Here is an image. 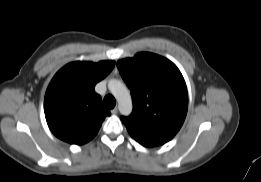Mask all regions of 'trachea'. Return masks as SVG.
I'll list each match as a JSON object with an SVG mask.
<instances>
[{
    "instance_id": "1",
    "label": "trachea",
    "mask_w": 261,
    "mask_h": 182,
    "mask_svg": "<svg viewBox=\"0 0 261 182\" xmlns=\"http://www.w3.org/2000/svg\"><path fill=\"white\" fill-rule=\"evenodd\" d=\"M116 104L115 98L112 95H107L104 98V105L108 109H113Z\"/></svg>"
}]
</instances>
